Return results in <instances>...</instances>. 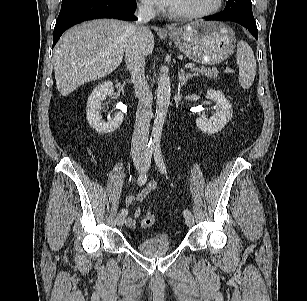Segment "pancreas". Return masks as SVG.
Returning a JSON list of instances; mask_svg holds the SVG:
<instances>
[{"mask_svg": "<svg viewBox=\"0 0 307 301\" xmlns=\"http://www.w3.org/2000/svg\"><path fill=\"white\" fill-rule=\"evenodd\" d=\"M193 72H195L196 75L198 74H204L208 78H217L218 77V71L214 68H193Z\"/></svg>", "mask_w": 307, "mask_h": 301, "instance_id": "pancreas-1", "label": "pancreas"}]
</instances>
